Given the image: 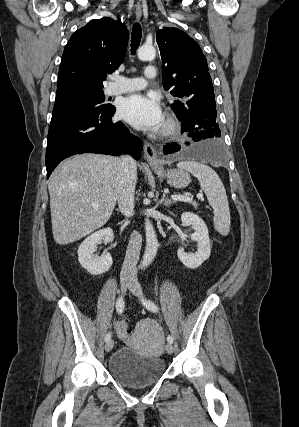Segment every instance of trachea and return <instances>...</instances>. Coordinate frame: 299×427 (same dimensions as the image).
I'll list each match as a JSON object with an SVG mask.
<instances>
[{"label": "trachea", "instance_id": "1", "mask_svg": "<svg viewBox=\"0 0 299 427\" xmlns=\"http://www.w3.org/2000/svg\"><path fill=\"white\" fill-rule=\"evenodd\" d=\"M141 36H142L141 25L139 23H135L133 25L132 33H131V52H132V54L135 53L138 46L140 45Z\"/></svg>", "mask_w": 299, "mask_h": 427}]
</instances>
